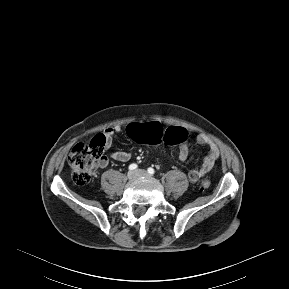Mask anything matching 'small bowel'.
Returning a JSON list of instances; mask_svg holds the SVG:
<instances>
[{
    "label": "small bowel",
    "mask_w": 289,
    "mask_h": 289,
    "mask_svg": "<svg viewBox=\"0 0 289 289\" xmlns=\"http://www.w3.org/2000/svg\"><path fill=\"white\" fill-rule=\"evenodd\" d=\"M121 126L116 125L114 127H110L106 129L102 136L105 138V147L108 149L112 145L113 136L115 133H119L121 131ZM196 140L199 144L206 146L208 148V153L203 159L202 165L193 169L189 172L188 176L191 182L195 183L200 178L208 174L214 167L218 157L219 150L216 144L206 135L199 134L196 137ZM178 157L181 161H185L188 158V147L186 143H181L178 148ZM111 158L115 161L119 162H127L131 158V154L127 151H115L111 153ZM107 163V159H104L100 166H105Z\"/></svg>",
    "instance_id": "obj_1"
}]
</instances>
